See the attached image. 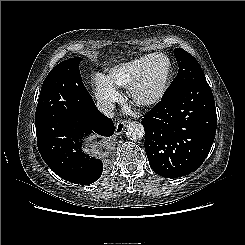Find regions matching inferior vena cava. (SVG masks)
I'll use <instances>...</instances> for the list:
<instances>
[{
  "instance_id": "1",
  "label": "inferior vena cava",
  "mask_w": 245,
  "mask_h": 245,
  "mask_svg": "<svg viewBox=\"0 0 245 245\" xmlns=\"http://www.w3.org/2000/svg\"><path fill=\"white\" fill-rule=\"evenodd\" d=\"M100 112L106 115L109 118L114 116V105L108 100H99L96 104Z\"/></svg>"
}]
</instances>
